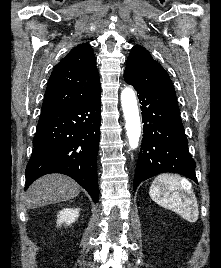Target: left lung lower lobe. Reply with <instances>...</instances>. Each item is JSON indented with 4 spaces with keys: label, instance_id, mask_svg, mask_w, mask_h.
<instances>
[{
    "label": "left lung lower lobe",
    "instance_id": "1",
    "mask_svg": "<svg viewBox=\"0 0 221 268\" xmlns=\"http://www.w3.org/2000/svg\"><path fill=\"white\" fill-rule=\"evenodd\" d=\"M135 89L142 105L144 134L134 191L142 181L163 172L179 173L198 183L175 95Z\"/></svg>",
    "mask_w": 221,
    "mask_h": 268
}]
</instances>
